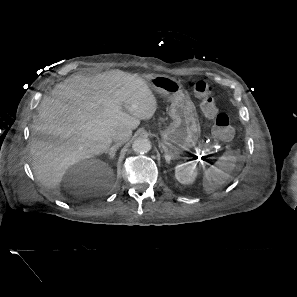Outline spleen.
Masks as SVG:
<instances>
[{
	"label": "spleen",
	"instance_id": "spleen-1",
	"mask_svg": "<svg viewBox=\"0 0 297 297\" xmlns=\"http://www.w3.org/2000/svg\"><path fill=\"white\" fill-rule=\"evenodd\" d=\"M236 160V156L227 152L218 159L215 165L210 166L204 171L202 184L206 194L213 193L229 180L235 168Z\"/></svg>",
	"mask_w": 297,
	"mask_h": 297
}]
</instances>
